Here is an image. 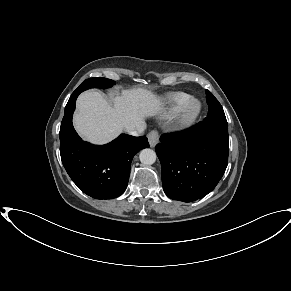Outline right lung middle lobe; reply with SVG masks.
I'll list each match as a JSON object with an SVG mask.
<instances>
[{
    "instance_id": "obj_1",
    "label": "right lung middle lobe",
    "mask_w": 291,
    "mask_h": 291,
    "mask_svg": "<svg viewBox=\"0 0 291 291\" xmlns=\"http://www.w3.org/2000/svg\"><path fill=\"white\" fill-rule=\"evenodd\" d=\"M115 84V81L107 78H90L83 81V83L77 88L81 93L89 88H109Z\"/></svg>"
}]
</instances>
